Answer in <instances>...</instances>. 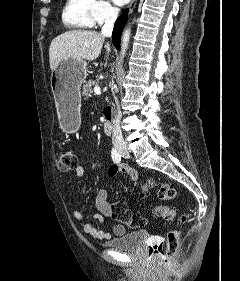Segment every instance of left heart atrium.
Listing matches in <instances>:
<instances>
[{"mask_svg": "<svg viewBox=\"0 0 240 281\" xmlns=\"http://www.w3.org/2000/svg\"><path fill=\"white\" fill-rule=\"evenodd\" d=\"M130 0H114L117 5H124L128 3Z\"/></svg>", "mask_w": 240, "mask_h": 281, "instance_id": "left-heart-atrium-1", "label": "left heart atrium"}]
</instances>
